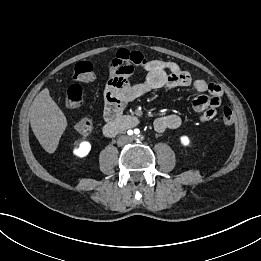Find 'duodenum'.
<instances>
[{"mask_svg": "<svg viewBox=\"0 0 261 261\" xmlns=\"http://www.w3.org/2000/svg\"><path fill=\"white\" fill-rule=\"evenodd\" d=\"M137 125V119L132 116H123L115 120L109 121L103 127L106 136H115Z\"/></svg>", "mask_w": 261, "mask_h": 261, "instance_id": "410a0bca", "label": "duodenum"}]
</instances>
